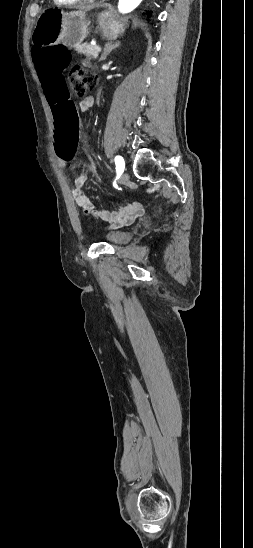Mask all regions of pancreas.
<instances>
[{"instance_id":"pancreas-1","label":"pancreas","mask_w":253,"mask_h":548,"mask_svg":"<svg viewBox=\"0 0 253 548\" xmlns=\"http://www.w3.org/2000/svg\"><path fill=\"white\" fill-rule=\"evenodd\" d=\"M95 45H78L76 51L79 54H83L88 58L96 59L98 57L99 51L96 50Z\"/></svg>"}]
</instances>
